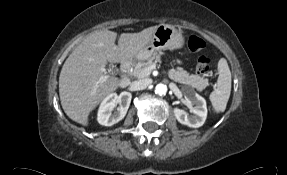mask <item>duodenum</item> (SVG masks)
Listing matches in <instances>:
<instances>
[{
	"label": "duodenum",
	"mask_w": 287,
	"mask_h": 175,
	"mask_svg": "<svg viewBox=\"0 0 287 175\" xmlns=\"http://www.w3.org/2000/svg\"><path fill=\"white\" fill-rule=\"evenodd\" d=\"M131 69V63L125 62L122 65V75H121V87L126 88L130 84L129 72Z\"/></svg>",
	"instance_id": "duodenum-1"
}]
</instances>
